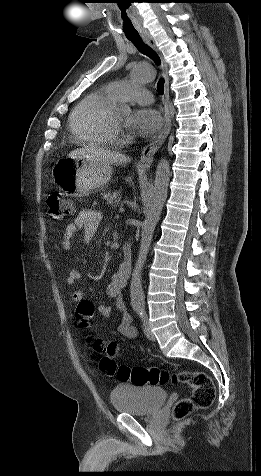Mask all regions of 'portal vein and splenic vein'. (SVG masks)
<instances>
[{"label":"portal vein and splenic vein","mask_w":261,"mask_h":476,"mask_svg":"<svg viewBox=\"0 0 261 476\" xmlns=\"http://www.w3.org/2000/svg\"><path fill=\"white\" fill-rule=\"evenodd\" d=\"M119 211H120V212H124V208H123V207H120Z\"/></svg>","instance_id":"1"}]
</instances>
